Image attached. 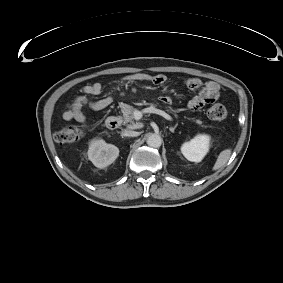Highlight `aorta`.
I'll return each mask as SVG.
<instances>
[{"mask_svg":"<svg viewBox=\"0 0 283 283\" xmlns=\"http://www.w3.org/2000/svg\"><path fill=\"white\" fill-rule=\"evenodd\" d=\"M147 144L153 148H159L162 144V138L159 134L152 133L147 138Z\"/></svg>","mask_w":283,"mask_h":283,"instance_id":"1","label":"aorta"}]
</instances>
